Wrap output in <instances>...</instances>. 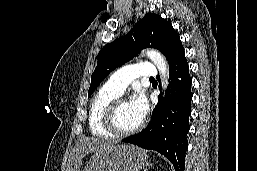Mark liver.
<instances>
[{
    "label": "liver",
    "mask_w": 257,
    "mask_h": 171,
    "mask_svg": "<svg viewBox=\"0 0 257 171\" xmlns=\"http://www.w3.org/2000/svg\"><path fill=\"white\" fill-rule=\"evenodd\" d=\"M116 140H104L97 138H84L70 154L66 171H80L83 157L88 153L98 152L114 144Z\"/></svg>",
    "instance_id": "1"
}]
</instances>
